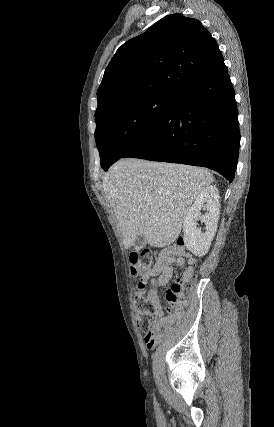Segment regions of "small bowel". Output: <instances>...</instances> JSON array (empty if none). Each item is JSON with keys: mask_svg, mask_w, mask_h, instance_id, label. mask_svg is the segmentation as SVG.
<instances>
[{"mask_svg": "<svg viewBox=\"0 0 274 427\" xmlns=\"http://www.w3.org/2000/svg\"><path fill=\"white\" fill-rule=\"evenodd\" d=\"M195 256L179 246H170L162 249L156 262L151 267H144L141 277L147 282V298L153 305L154 319L149 336H145L146 347L153 349L163 341L182 319L184 311L180 302L173 304L165 314L158 296L159 289L167 285L173 276L172 265H187L182 279L193 277Z\"/></svg>", "mask_w": 274, "mask_h": 427, "instance_id": "1", "label": "small bowel"}]
</instances>
